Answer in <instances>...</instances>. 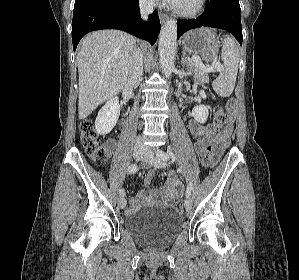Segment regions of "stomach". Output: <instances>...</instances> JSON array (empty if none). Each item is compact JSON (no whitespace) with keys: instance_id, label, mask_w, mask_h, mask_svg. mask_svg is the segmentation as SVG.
<instances>
[{"instance_id":"0dacf381","label":"stomach","mask_w":299,"mask_h":280,"mask_svg":"<svg viewBox=\"0 0 299 280\" xmlns=\"http://www.w3.org/2000/svg\"><path fill=\"white\" fill-rule=\"evenodd\" d=\"M183 48L191 54L202 55L207 65L219 50L215 34L206 28L195 29L186 33L182 39Z\"/></svg>"}]
</instances>
